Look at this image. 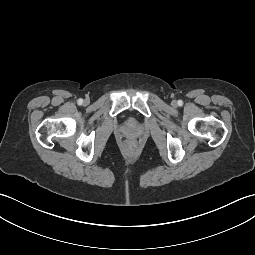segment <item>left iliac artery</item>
Returning a JSON list of instances; mask_svg holds the SVG:
<instances>
[{
    "label": "left iliac artery",
    "mask_w": 255,
    "mask_h": 255,
    "mask_svg": "<svg viewBox=\"0 0 255 255\" xmlns=\"http://www.w3.org/2000/svg\"><path fill=\"white\" fill-rule=\"evenodd\" d=\"M178 103H179V105H182V101H179Z\"/></svg>",
    "instance_id": "44dca946"
}]
</instances>
